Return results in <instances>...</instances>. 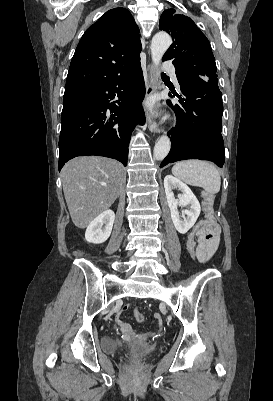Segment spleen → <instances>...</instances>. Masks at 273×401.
Instances as JSON below:
<instances>
[{
	"label": "spleen",
	"instance_id": "3e777b00",
	"mask_svg": "<svg viewBox=\"0 0 273 401\" xmlns=\"http://www.w3.org/2000/svg\"><path fill=\"white\" fill-rule=\"evenodd\" d=\"M173 174L193 186H203L209 194L220 190V174L217 166L207 160H180L172 168Z\"/></svg>",
	"mask_w": 273,
	"mask_h": 401
}]
</instances>
